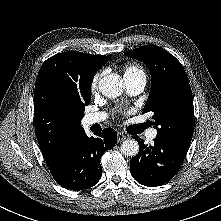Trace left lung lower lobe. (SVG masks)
I'll list each match as a JSON object with an SVG mask.
<instances>
[{"mask_svg": "<svg viewBox=\"0 0 221 221\" xmlns=\"http://www.w3.org/2000/svg\"><path fill=\"white\" fill-rule=\"evenodd\" d=\"M140 145L139 153L130 160L132 177L148 187L160 186L171 180L179 171L188 147L156 137L148 146L138 136L133 137Z\"/></svg>", "mask_w": 221, "mask_h": 221, "instance_id": "left-lung-lower-lobe-1", "label": "left lung lower lobe"}]
</instances>
